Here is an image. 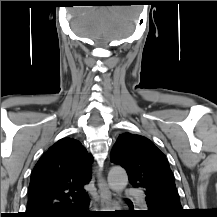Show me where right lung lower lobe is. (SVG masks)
I'll list each match as a JSON object with an SVG mask.
<instances>
[{
    "instance_id": "right-lung-lower-lobe-1",
    "label": "right lung lower lobe",
    "mask_w": 217,
    "mask_h": 217,
    "mask_svg": "<svg viewBox=\"0 0 217 217\" xmlns=\"http://www.w3.org/2000/svg\"><path fill=\"white\" fill-rule=\"evenodd\" d=\"M88 201L69 210L62 211L58 214H55L51 217H89V211H86ZM73 210V211H72Z\"/></svg>"
}]
</instances>
